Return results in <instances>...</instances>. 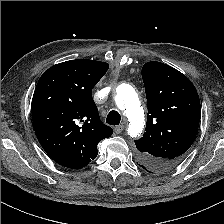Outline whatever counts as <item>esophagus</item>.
<instances>
[{
	"mask_svg": "<svg viewBox=\"0 0 224 224\" xmlns=\"http://www.w3.org/2000/svg\"><path fill=\"white\" fill-rule=\"evenodd\" d=\"M123 130H124L123 125H119V126L114 127V131H115L116 134H120Z\"/></svg>",
	"mask_w": 224,
	"mask_h": 224,
	"instance_id": "1",
	"label": "esophagus"
}]
</instances>
